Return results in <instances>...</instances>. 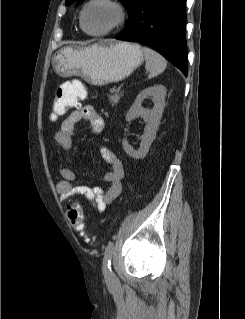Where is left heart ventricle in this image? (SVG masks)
<instances>
[{
  "label": "left heart ventricle",
  "instance_id": "1",
  "mask_svg": "<svg viewBox=\"0 0 245 319\" xmlns=\"http://www.w3.org/2000/svg\"><path fill=\"white\" fill-rule=\"evenodd\" d=\"M116 12L113 8L96 4L91 6L85 15V27L88 31L98 32L110 27L116 20Z\"/></svg>",
  "mask_w": 245,
  "mask_h": 319
}]
</instances>
